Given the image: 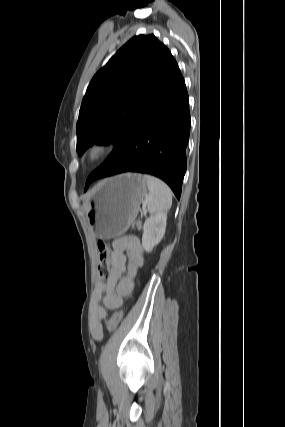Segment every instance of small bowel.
I'll return each mask as SVG.
<instances>
[{
  "mask_svg": "<svg viewBox=\"0 0 285 427\" xmlns=\"http://www.w3.org/2000/svg\"><path fill=\"white\" fill-rule=\"evenodd\" d=\"M144 264L143 247L136 236H124L113 243L110 273L107 280L97 284L91 297L92 335L95 340L104 336L107 309L122 306L123 298L134 288V280Z\"/></svg>",
  "mask_w": 285,
  "mask_h": 427,
  "instance_id": "1",
  "label": "small bowel"
}]
</instances>
